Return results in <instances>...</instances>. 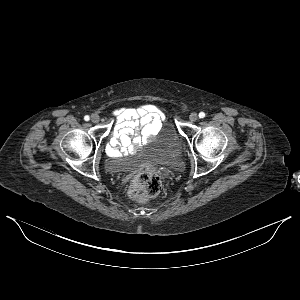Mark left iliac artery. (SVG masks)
Listing matches in <instances>:
<instances>
[{
  "label": "left iliac artery",
  "mask_w": 300,
  "mask_h": 300,
  "mask_svg": "<svg viewBox=\"0 0 300 300\" xmlns=\"http://www.w3.org/2000/svg\"><path fill=\"white\" fill-rule=\"evenodd\" d=\"M205 117V113L204 112H200L199 113V118L203 119Z\"/></svg>",
  "instance_id": "1"
}]
</instances>
